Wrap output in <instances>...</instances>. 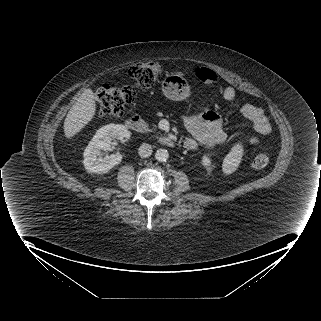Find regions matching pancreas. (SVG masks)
I'll return each mask as SVG.
<instances>
[{"label":"pancreas","instance_id":"pancreas-1","mask_svg":"<svg viewBox=\"0 0 321 321\" xmlns=\"http://www.w3.org/2000/svg\"><path fill=\"white\" fill-rule=\"evenodd\" d=\"M151 131H156V129H151Z\"/></svg>","mask_w":321,"mask_h":321}]
</instances>
